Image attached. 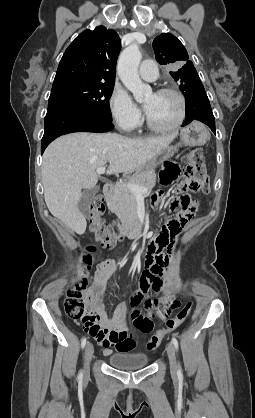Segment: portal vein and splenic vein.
Returning <instances> with one entry per match:
<instances>
[{"label":"portal vein and splenic vein","instance_id":"18ae733b","mask_svg":"<svg viewBox=\"0 0 255 418\" xmlns=\"http://www.w3.org/2000/svg\"><path fill=\"white\" fill-rule=\"evenodd\" d=\"M97 173L99 175L104 174L105 173V166L99 167L97 169ZM125 186H127V188L135 195H139V194H143V193H147V190L143 187H140L136 184H128V183H124Z\"/></svg>","mask_w":255,"mask_h":418}]
</instances>
